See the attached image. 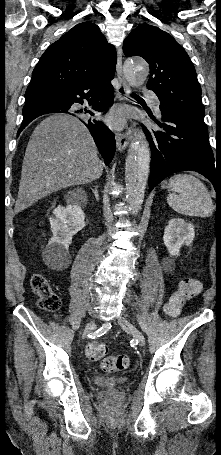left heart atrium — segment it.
<instances>
[{
	"instance_id": "39dd6f15",
	"label": "left heart atrium",
	"mask_w": 221,
	"mask_h": 455,
	"mask_svg": "<svg viewBox=\"0 0 221 455\" xmlns=\"http://www.w3.org/2000/svg\"><path fill=\"white\" fill-rule=\"evenodd\" d=\"M108 123L114 128H120L124 124L125 114L121 109L112 111L107 117Z\"/></svg>"
}]
</instances>
